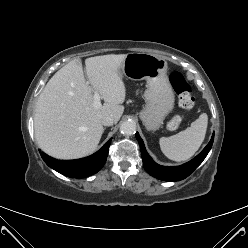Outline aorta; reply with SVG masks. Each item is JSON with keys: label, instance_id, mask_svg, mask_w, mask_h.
<instances>
[{"label": "aorta", "instance_id": "762f6f07", "mask_svg": "<svg viewBox=\"0 0 248 248\" xmlns=\"http://www.w3.org/2000/svg\"><path fill=\"white\" fill-rule=\"evenodd\" d=\"M120 132L124 135H132L136 132V124L131 121L123 122L120 126Z\"/></svg>", "mask_w": 248, "mask_h": 248}]
</instances>
